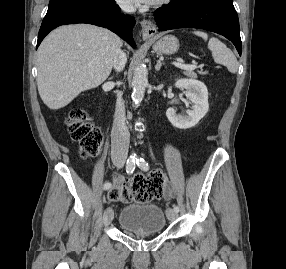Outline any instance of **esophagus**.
Returning a JSON list of instances; mask_svg holds the SVG:
<instances>
[{"label":"esophagus","mask_w":286,"mask_h":269,"mask_svg":"<svg viewBox=\"0 0 286 269\" xmlns=\"http://www.w3.org/2000/svg\"><path fill=\"white\" fill-rule=\"evenodd\" d=\"M141 28H142V37L143 39H150L153 37L156 33V26L155 24L148 20V19H142L140 21Z\"/></svg>","instance_id":"esophagus-1"}]
</instances>
